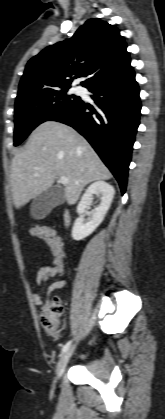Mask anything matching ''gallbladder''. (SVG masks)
<instances>
[{
  "label": "gallbladder",
  "instance_id": "1",
  "mask_svg": "<svg viewBox=\"0 0 165 419\" xmlns=\"http://www.w3.org/2000/svg\"><path fill=\"white\" fill-rule=\"evenodd\" d=\"M64 201V191L57 187H50L34 198L30 214L34 219H43L53 208L61 205Z\"/></svg>",
  "mask_w": 165,
  "mask_h": 419
}]
</instances>
